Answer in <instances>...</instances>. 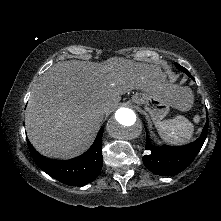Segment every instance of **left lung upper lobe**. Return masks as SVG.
<instances>
[{"label":"left lung upper lobe","instance_id":"1","mask_svg":"<svg viewBox=\"0 0 221 221\" xmlns=\"http://www.w3.org/2000/svg\"><path fill=\"white\" fill-rule=\"evenodd\" d=\"M176 66L182 71L183 67L176 63Z\"/></svg>","mask_w":221,"mask_h":221}]
</instances>
